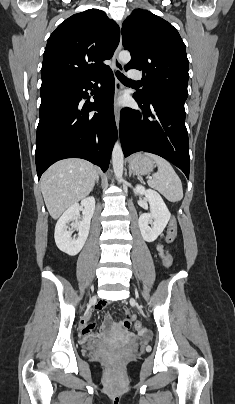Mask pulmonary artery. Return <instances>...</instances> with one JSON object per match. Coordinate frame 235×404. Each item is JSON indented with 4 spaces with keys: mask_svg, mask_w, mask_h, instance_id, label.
Wrapping results in <instances>:
<instances>
[{
    "mask_svg": "<svg viewBox=\"0 0 235 404\" xmlns=\"http://www.w3.org/2000/svg\"><path fill=\"white\" fill-rule=\"evenodd\" d=\"M129 77L133 80H140L142 78V74L139 70L130 69L129 70Z\"/></svg>",
    "mask_w": 235,
    "mask_h": 404,
    "instance_id": "obj_1",
    "label": "pulmonary artery"
}]
</instances>
